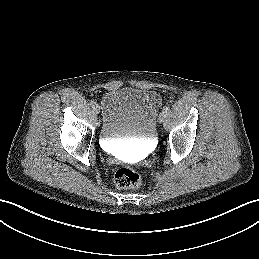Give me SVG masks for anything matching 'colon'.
I'll return each instance as SVG.
<instances>
[{
	"label": "colon",
	"mask_w": 259,
	"mask_h": 259,
	"mask_svg": "<svg viewBox=\"0 0 259 259\" xmlns=\"http://www.w3.org/2000/svg\"><path fill=\"white\" fill-rule=\"evenodd\" d=\"M114 183L118 188H136L141 183V177L135 170L121 167L114 174Z\"/></svg>",
	"instance_id": "colon-1"
}]
</instances>
